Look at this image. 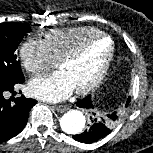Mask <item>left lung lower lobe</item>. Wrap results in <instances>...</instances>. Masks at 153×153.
Masks as SVG:
<instances>
[{
    "label": "left lung lower lobe",
    "instance_id": "0a47b994",
    "mask_svg": "<svg viewBox=\"0 0 153 153\" xmlns=\"http://www.w3.org/2000/svg\"><path fill=\"white\" fill-rule=\"evenodd\" d=\"M131 97H129L126 101V106H128ZM78 107H82L88 110L94 109V106L91 101V95L86 96L85 98L81 99L80 101L76 102ZM91 123L88 125L89 128L85 130L83 133L74 135L73 139L81 142V143H92L98 141L99 139L105 137L111 132V128L107 123L106 119L95 117L96 113L92 112ZM110 118L116 120L118 115L116 112L109 115Z\"/></svg>",
    "mask_w": 153,
    "mask_h": 153
}]
</instances>
